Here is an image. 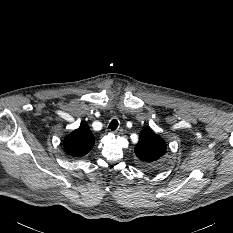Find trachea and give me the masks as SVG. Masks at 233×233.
I'll return each instance as SVG.
<instances>
[{"label": "trachea", "instance_id": "1", "mask_svg": "<svg viewBox=\"0 0 233 233\" xmlns=\"http://www.w3.org/2000/svg\"><path fill=\"white\" fill-rule=\"evenodd\" d=\"M118 127V121L116 119H113L110 124L109 127L112 131L116 130Z\"/></svg>", "mask_w": 233, "mask_h": 233}]
</instances>
